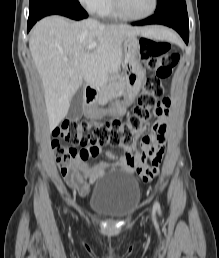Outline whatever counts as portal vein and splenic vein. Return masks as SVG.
<instances>
[{
  "label": "portal vein and splenic vein",
  "mask_w": 219,
  "mask_h": 258,
  "mask_svg": "<svg viewBox=\"0 0 219 258\" xmlns=\"http://www.w3.org/2000/svg\"><path fill=\"white\" fill-rule=\"evenodd\" d=\"M96 46H97V43H96V42H93V43H91V44L88 46V50H92V49H94Z\"/></svg>",
  "instance_id": "obj_1"
}]
</instances>
